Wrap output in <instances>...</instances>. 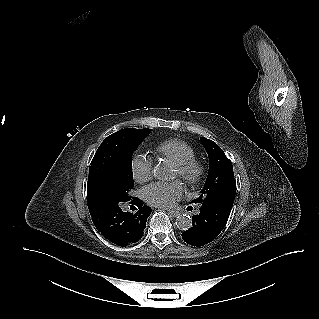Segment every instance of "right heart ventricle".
Wrapping results in <instances>:
<instances>
[{
  "mask_svg": "<svg viewBox=\"0 0 319 319\" xmlns=\"http://www.w3.org/2000/svg\"><path fill=\"white\" fill-rule=\"evenodd\" d=\"M156 153L178 165L194 159V149L181 139H169L156 147Z\"/></svg>",
  "mask_w": 319,
  "mask_h": 319,
  "instance_id": "e07e8e85",
  "label": "right heart ventricle"
}]
</instances>
